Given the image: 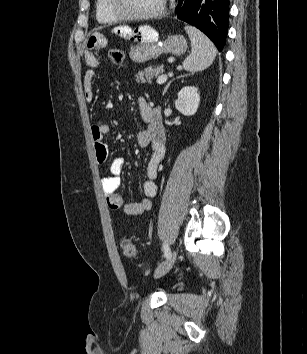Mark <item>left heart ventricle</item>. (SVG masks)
I'll use <instances>...</instances> for the list:
<instances>
[{
  "mask_svg": "<svg viewBox=\"0 0 307 354\" xmlns=\"http://www.w3.org/2000/svg\"><path fill=\"white\" fill-rule=\"evenodd\" d=\"M162 0H120L121 8L128 13L142 14L157 10Z\"/></svg>",
  "mask_w": 307,
  "mask_h": 354,
  "instance_id": "1",
  "label": "left heart ventricle"
}]
</instances>
